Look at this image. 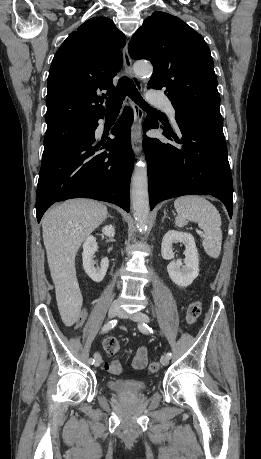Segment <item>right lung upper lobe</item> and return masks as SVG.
<instances>
[{
    "instance_id": "obj_1",
    "label": "right lung upper lobe",
    "mask_w": 261,
    "mask_h": 459,
    "mask_svg": "<svg viewBox=\"0 0 261 459\" xmlns=\"http://www.w3.org/2000/svg\"><path fill=\"white\" fill-rule=\"evenodd\" d=\"M125 36L113 21L94 17L73 32L56 52L47 81V127L65 120L96 121L99 104L114 90L112 78L123 64ZM104 91L106 94H102Z\"/></svg>"
}]
</instances>
